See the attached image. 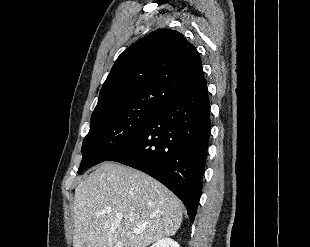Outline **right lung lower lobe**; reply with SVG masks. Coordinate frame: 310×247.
Returning a JSON list of instances; mask_svg holds the SVG:
<instances>
[{"label": "right lung lower lobe", "instance_id": "1", "mask_svg": "<svg viewBox=\"0 0 310 247\" xmlns=\"http://www.w3.org/2000/svg\"><path fill=\"white\" fill-rule=\"evenodd\" d=\"M211 131L207 86L161 107L138 134L107 161L147 173L175 193L193 222Z\"/></svg>", "mask_w": 310, "mask_h": 247}]
</instances>
